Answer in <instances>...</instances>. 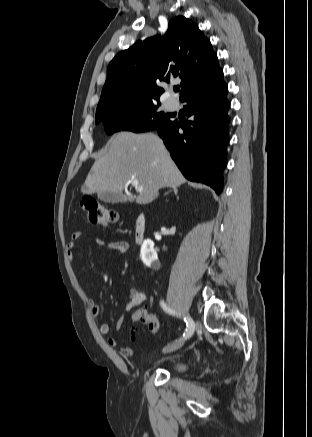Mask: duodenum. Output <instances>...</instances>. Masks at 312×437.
<instances>
[{"mask_svg":"<svg viewBox=\"0 0 312 437\" xmlns=\"http://www.w3.org/2000/svg\"><path fill=\"white\" fill-rule=\"evenodd\" d=\"M147 219L144 214L137 216L134 222V236L137 244H142L146 237Z\"/></svg>","mask_w":312,"mask_h":437,"instance_id":"duodenum-1","label":"duodenum"}]
</instances>
